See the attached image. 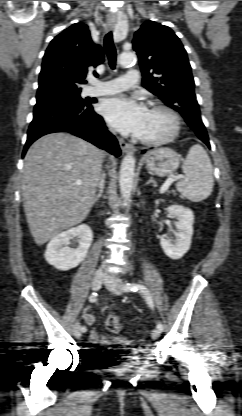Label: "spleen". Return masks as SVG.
<instances>
[{
  "label": "spleen",
  "mask_w": 242,
  "mask_h": 416,
  "mask_svg": "<svg viewBox=\"0 0 242 416\" xmlns=\"http://www.w3.org/2000/svg\"><path fill=\"white\" fill-rule=\"evenodd\" d=\"M182 170L185 177L176 183V189L184 197L193 202H200L212 193L213 167L201 145L195 144L190 148Z\"/></svg>",
  "instance_id": "spleen-1"
}]
</instances>
